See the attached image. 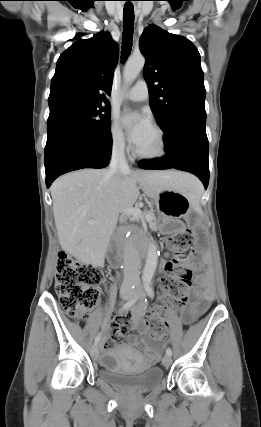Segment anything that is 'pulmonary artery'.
Instances as JSON below:
<instances>
[{"label": "pulmonary artery", "mask_w": 261, "mask_h": 427, "mask_svg": "<svg viewBox=\"0 0 261 427\" xmlns=\"http://www.w3.org/2000/svg\"><path fill=\"white\" fill-rule=\"evenodd\" d=\"M125 98L138 102L148 98V88L145 81H138L125 95Z\"/></svg>", "instance_id": "1"}]
</instances>
